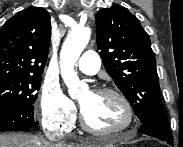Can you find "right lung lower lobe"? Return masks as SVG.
Returning a JSON list of instances; mask_svg holds the SVG:
<instances>
[{
    "mask_svg": "<svg viewBox=\"0 0 183 147\" xmlns=\"http://www.w3.org/2000/svg\"><path fill=\"white\" fill-rule=\"evenodd\" d=\"M33 104L0 105V132L25 131L35 126Z\"/></svg>",
    "mask_w": 183,
    "mask_h": 147,
    "instance_id": "right-lung-lower-lobe-1",
    "label": "right lung lower lobe"
}]
</instances>
